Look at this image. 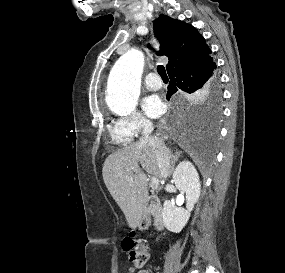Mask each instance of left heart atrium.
I'll return each mask as SVG.
<instances>
[{
  "mask_svg": "<svg viewBox=\"0 0 285 273\" xmlns=\"http://www.w3.org/2000/svg\"><path fill=\"white\" fill-rule=\"evenodd\" d=\"M142 107L144 112L152 118L160 116L164 111V105L156 95H151L145 98L142 103Z\"/></svg>",
  "mask_w": 285,
  "mask_h": 273,
  "instance_id": "1",
  "label": "left heart atrium"
}]
</instances>
